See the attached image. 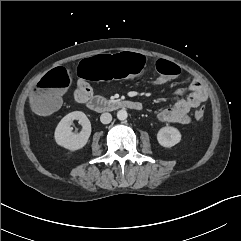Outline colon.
<instances>
[{"instance_id": "colon-1", "label": "colon", "mask_w": 241, "mask_h": 241, "mask_svg": "<svg viewBox=\"0 0 241 241\" xmlns=\"http://www.w3.org/2000/svg\"><path fill=\"white\" fill-rule=\"evenodd\" d=\"M145 67L146 62L139 54L122 51L99 54L89 60H82L78 63L76 72L80 78L85 80L111 79L138 75L144 71ZM155 68L167 78L180 73V68L176 64L163 59L155 62ZM166 76H161V79H166ZM70 81L71 73L64 67H57L42 76L30 98L32 108L41 114L53 111L60 104L62 94ZM194 115L197 120H201L205 111L200 108Z\"/></svg>"}]
</instances>
